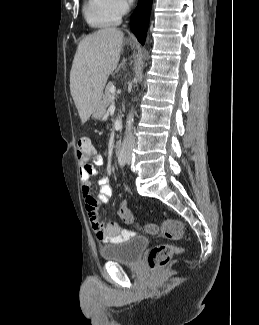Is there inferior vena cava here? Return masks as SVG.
I'll return each mask as SVG.
<instances>
[{
    "instance_id": "inferior-vena-cava-1",
    "label": "inferior vena cava",
    "mask_w": 259,
    "mask_h": 325,
    "mask_svg": "<svg viewBox=\"0 0 259 325\" xmlns=\"http://www.w3.org/2000/svg\"><path fill=\"white\" fill-rule=\"evenodd\" d=\"M129 2L131 3L132 0H129ZM134 145H135V138L132 133H129L127 137V148H132L134 147Z\"/></svg>"
}]
</instances>
